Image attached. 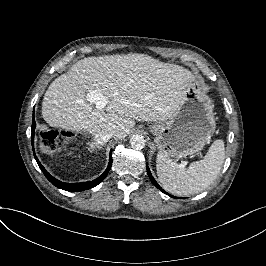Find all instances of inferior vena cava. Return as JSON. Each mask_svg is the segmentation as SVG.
I'll return each mask as SVG.
<instances>
[{"instance_id":"1","label":"inferior vena cava","mask_w":266,"mask_h":266,"mask_svg":"<svg viewBox=\"0 0 266 266\" xmlns=\"http://www.w3.org/2000/svg\"><path fill=\"white\" fill-rule=\"evenodd\" d=\"M92 135L93 140L97 144L104 145L109 139L113 137L114 133L108 130H98L96 132H93Z\"/></svg>"}]
</instances>
